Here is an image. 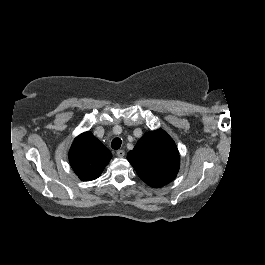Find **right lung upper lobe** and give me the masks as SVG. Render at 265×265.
I'll use <instances>...</instances> for the list:
<instances>
[{"instance_id": "1", "label": "right lung upper lobe", "mask_w": 265, "mask_h": 265, "mask_svg": "<svg viewBox=\"0 0 265 265\" xmlns=\"http://www.w3.org/2000/svg\"><path fill=\"white\" fill-rule=\"evenodd\" d=\"M111 157V152L91 132L79 135L69 151L71 167L84 181L98 178Z\"/></svg>"}]
</instances>
